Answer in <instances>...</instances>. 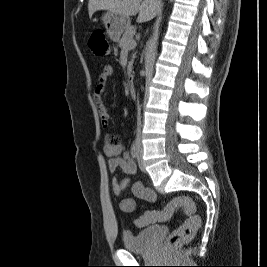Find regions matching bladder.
<instances>
[{"instance_id":"1","label":"bladder","mask_w":267,"mask_h":267,"mask_svg":"<svg viewBox=\"0 0 267 267\" xmlns=\"http://www.w3.org/2000/svg\"><path fill=\"white\" fill-rule=\"evenodd\" d=\"M160 230L159 225H152L136 233L127 231L123 234V247L130 252H145L152 246Z\"/></svg>"}]
</instances>
